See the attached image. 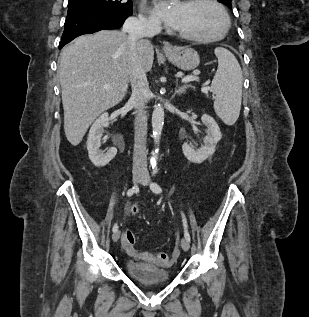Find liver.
<instances>
[{
  "mask_svg": "<svg viewBox=\"0 0 309 317\" xmlns=\"http://www.w3.org/2000/svg\"><path fill=\"white\" fill-rule=\"evenodd\" d=\"M134 49L145 72L150 71L154 60L151 42L141 39L134 45L121 31L102 30L80 36L61 52L58 74L64 131L73 146L82 141L101 113L124 98Z\"/></svg>",
  "mask_w": 309,
  "mask_h": 317,
  "instance_id": "1",
  "label": "liver"
}]
</instances>
